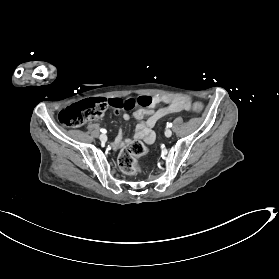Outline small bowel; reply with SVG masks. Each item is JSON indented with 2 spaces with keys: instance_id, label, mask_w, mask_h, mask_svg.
Listing matches in <instances>:
<instances>
[{
  "instance_id": "c3829d8e",
  "label": "small bowel",
  "mask_w": 279,
  "mask_h": 279,
  "mask_svg": "<svg viewBox=\"0 0 279 279\" xmlns=\"http://www.w3.org/2000/svg\"><path fill=\"white\" fill-rule=\"evenodd\" d=\"M155 104L165 103L164 107L153 110L151 108H139L134 112V117L138 120L134 137L140 139L148 144H152L155 141V133L153 127L163 117L190 109L191 100L186 97H171L164 95H157L154 97ZM148 116L147 120L144 121V117ZM124 120H129L130 115L128 113L123 114ZM130 140L124 139L123 131L120 129L118 135L112 143L115 150L122 149Z\"/></svg>"
}]
</instances>
